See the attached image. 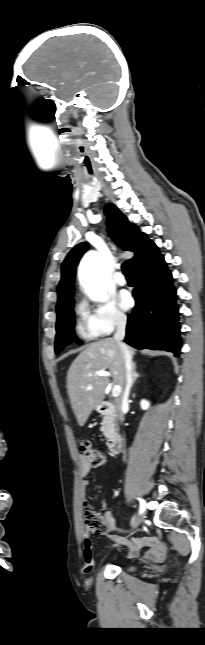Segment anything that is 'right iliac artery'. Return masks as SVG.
Listing matches in <instances>:
<instances>
[{"mask_svg":"<svg viewBox=\"0 0 205 645\" xmlns=\"http://www.w3.org/2000/svg\"><path fill=\"white\" fill-rule=\"evenodd\" d=\"M139 501H140V513H142L145 510L146 504L143 499L139 498Z\"/></svg>","mask_w":205,"mask_h":645,"instance_id":"obj_1","label":"right iliac artery"}]
</instances>
